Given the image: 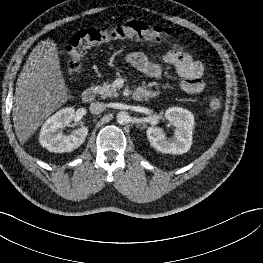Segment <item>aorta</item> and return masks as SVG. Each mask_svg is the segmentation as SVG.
Here are the masks:
<instances>
[{
	"label": "aorta",
	"mask_w": 263,
	"mask_h": 263,
	"mask_svg": "<svg viewBox=\"0 0 263 263\" xmlns=\"http://www.w3.org/2000/svg\"><path fill=\"white\" fill-rule=\"evenodd\" d=\"M116 118H117V122L121 125H125V124L129 123V121H130V115L126 111L118 112Z\"/></svg>",
	"instance_id": "1"
}]
</instances>
